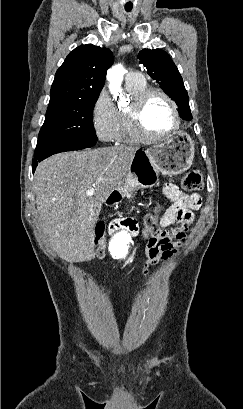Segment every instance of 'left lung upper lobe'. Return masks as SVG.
Returning a JSON list of instances; mask_svg holds the SVG:
<instances>
[{
  "label": "left lung upper lobe",
  "mask_w": 243,
  "mask_h": 409,
  "mask_svg": "<svg viewBox=\"0 0 243 409\" xmlns=\"http://www.w3.org/2000/svg\"><path fill=\"white\" fill-rule=\"evenodd\" d=\"M138 58L151 78L156 80L163 87L164 92L176 102L181 117L190 121L192 114L189 97L182 77L170 56L161 49H143Z\"/></svg>",
  "instance_id": "1"
}]
</instances>
